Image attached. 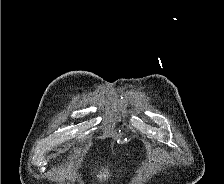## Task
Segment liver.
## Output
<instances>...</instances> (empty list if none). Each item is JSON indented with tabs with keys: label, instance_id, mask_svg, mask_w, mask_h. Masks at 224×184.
<instances>
[{
	"label": "liver",
	"instance_id": "obj_1",
	"mask_svg": "<svg viewBox=\"0 0 224 184\" xmlns=\"http://www.w3.org/2000/svg\"><path fill=\"white\" fill-rule=\"evenodd\" d=\"M109 177V172L107 170H104V173H100L98 175V178L100 181H102V179L106 180Z\"/></svg>",
	"mask_w": 224,
	"mask_h": 184
}]
</instances>
